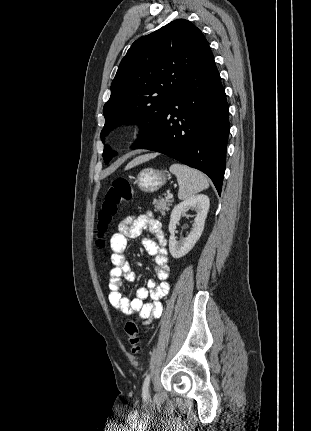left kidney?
I'll list each match as a JSON object with an SVG mask.
<instances>
[{
	"instance_id": "5707ae66",
	"label": "left kidney",
	"mask_w": 311,
	"mask_h": 431,
	"mask_svg": "<svg viewBox=\"0 0 311 431\" xmlns=\"http://www.w3.org/2000/svg\"><path fill=\"white\" fill-rule=\"evenodd\" d=\"M209 206L210 202L208 196L199 194V196H192V198H188V200L180 202V204L175 206L174 210H172L169 221V231L171 233L169 237V249L171 255L176 257V259L186 255V253L194 247L197 239H199L204 229V223L208 214ZM187 210H194V212H196L193 229H191L190 233H188L187 237H184L182 241H177L175 237L176 223L182 214L187 212Z\"/></svg>"
}]
</instances>
